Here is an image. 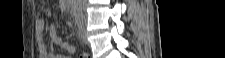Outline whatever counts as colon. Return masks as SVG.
I'll use <instances>...</instances> for the list:
<instances>
[{"label":"colon","mask_w":225,"mask_h":58,"mask_svg":"<svg viewBox=\"0 0 225 58\" xmlns=\"http://www.w3.org/2000/svg\"><path fill=\"white\" fill-rule=\"evenodd\" d=\"M80 58H89L88 54L87 53H83Z\"/></svg>","instance_id":"1"}]
</instances>
